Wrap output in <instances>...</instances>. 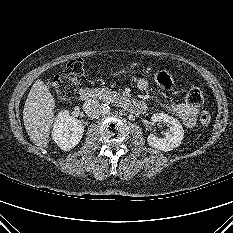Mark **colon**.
I'll return each instance as SVG.
<instances>
[{"mask_svg": "<svg viewBox=\"0 0 233 233\" xmlns=\"http://www.w3.org/2000/svg\"><path fill=\"white\" fill-rule=\"evenodd\" d=\"M84 74V64L81 59L70 60L64 69L63 74L49 80V87L62 99L69 100L74 97L79 86L80 78ZM204 97L198 88H192L186 95V103L192 107H199L203 104ZM200 123L207 126L211 122V115L207 111L200 114Z\"/></svg>", "mask_w": 233, "mask_h": 233, "instance_id": "obj_1", "label": "colon"}]
</instances>
